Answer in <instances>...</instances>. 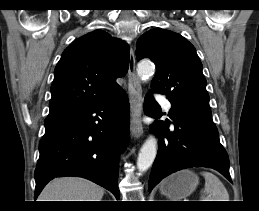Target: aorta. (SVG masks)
<instances>
[{
  "label": "aorta",
  "instance_id": "obj_1",
  "mask_svg": "<svg viewBox=\"0 0 259 211\" xmlns=\"http://www.w3.org/2000/svg\"><path fill=\"white\" fill-rule=\"evenodd\" d=\"M155 67L152 63L142 61L137 66L138 76L142 80H147L154 74ZM157 154V141L154 136H150L142 145L138 159L137 168L140 173L147 171L153 164Z\"/></svg>",
  "mask_w": 259,
  "mask_h": 211
}]
</instances>
